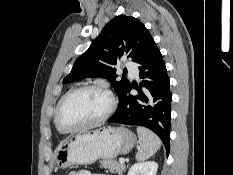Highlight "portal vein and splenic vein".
Instances as JSON below:
<instances>
[{
    "label": "portal vein and splenic vein",
    "instance_id": "1",
    "mask_svg": "<svg viewBox=\"0 0 233 175\" xmlns=\"http://www.w3.org/2000/svg\"><path fill=\"white\" fill-rule=\"evenodd\" d=\"M119 162H120L121 164H124V163H125V159H124V158H120V159H119Z\"/></svg>",
    "mask_w": 233,
    "mask_h": 175
}]
</instances>
